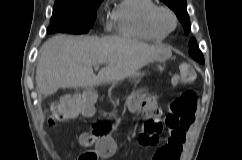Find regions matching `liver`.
I'll list each match as a JSON object with an SVG mask.
<instances>
[{
  "mask_svg": "<svg viewBox=\"0 0 242 160\" xmlns=\"http://www.w3.org/2000/svg\"><path fill=\"white\" fill-rule=\"evenodd\" d=\"M171 56L165 46L125 37L56 35L40 49L36 85L45 98L59 88L93 87L133 77L145 65ZM95 65H105L98 75L93 73Z\"/></svg>",
  "mask_w": 242,
  "mask_h": 160,
  "instance_id": "liver-1",
  "label": "liver"
}]
</instances>
